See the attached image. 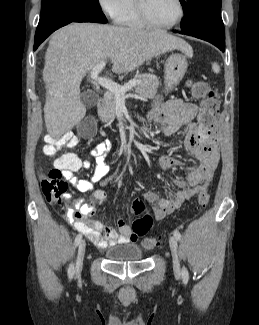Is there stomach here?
<instances>
[{"mask_svg":"<svg viewBox=\"0 0 259 325\" xmlns=\"http://www.w3.org/2000/svg\"><path fill=\"white\" fill-rule=\"evenodd\" d=\"M187 65L188 63L185 56L181 54L175 53L168 57L164 66V84L167 93L180 83L187 70ZM159 100L160 97L157 96L154 103L156 104Z\"/></svg>","mask_w":259,"mask_h":325,"instance_id":"obj_1","label":"stomach"}]
</instances>
